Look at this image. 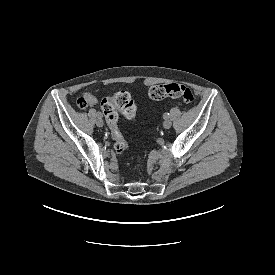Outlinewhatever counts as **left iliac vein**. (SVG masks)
I'll return each mask as SVG.
<instances>
[{
	"label": "left iliac vein",
	"instance_id": "obj_1",
	"mask_svg": "<svg viewBox=\"0 0 275 275\" xmlns=\"http://www.w3.org/2000/svg\"><path fill=\"white\" fill-rule=\"evenodd\" d=\"M172 125V122L170 120H165L164 123H163V127L165 129H169Z\"/></svg>",
	"mask_w": 275,
	"mask_h": 275
}]
</instances>
